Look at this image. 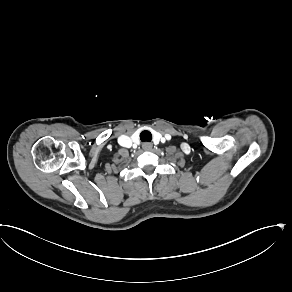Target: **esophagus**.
<instances>
[{"label":"esophagus","mask_w":292,"mask_h":292,"mask_svg":"<svg viewBox=\"0 0 292 292\" xmlns=\"http://www.w3.org/2000/svg\"><path fill=\"white\" fill-rule=\"evenodd\" d=\"M142 148H143L145 151H150V150H152V148H153V144L150 143V142H144V143L142 144Z\"/></svg>","instance_id":"34e87169"}]
</instances>
